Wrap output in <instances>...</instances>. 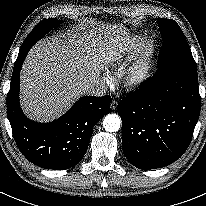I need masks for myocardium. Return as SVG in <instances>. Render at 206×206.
I'll return each mask as SVG.
<instances>
[{
	"mask_svg": "<svg viewBox=\"0 0 206 206\" xmlns=\"http://www.w3.org/2000/svg\"><path fill=\"white\" fill-rule=\"evenodd\" d=\"M156 44L154 39L147 38L134 60L123 72V83L127 88H137L150 76Z\"/></svg>",
	"mask_w": 206,
	"mask_h": 206,
	"instance_id": "myocardium-1",
	"label": "myocardium"
}]
</instances>
